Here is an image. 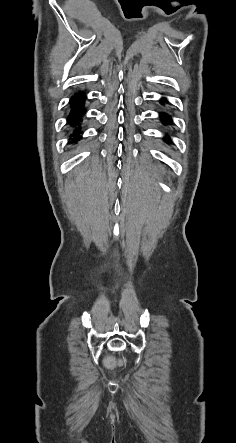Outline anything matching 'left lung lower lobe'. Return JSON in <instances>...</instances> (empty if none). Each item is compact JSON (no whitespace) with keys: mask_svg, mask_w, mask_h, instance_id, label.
Instances as JSON below:
<instances>
[{"mask_svg":"<svg viewBox=\"0 0 236 443\" xmlns=\"http://www.w3.org/2000/svg\"><path fill=\"white\" fill-rule=\"evenodd\" d=\"M162 118H163V121H164L165 123H169V121H168V119H167V117H166L165 114L162 115Z\"/></svg>","mask_w":236,"mask_h":443,"instance_id":"0a47b994","label":"left lung lower lobe"}]
</instances>
